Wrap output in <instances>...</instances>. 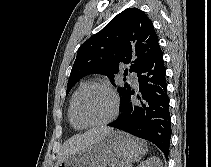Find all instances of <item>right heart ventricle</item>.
<instances>
[{
	"label": "right heart ventricle",
	"mask_w": 211,
	"mask_h": 167,
	"mask_svg": "<svg viewBox=\"0 0 211 167\" xmlns=\"http://www.w3.org/2000/svg\"><path fill=\"white\" fill-rule=\"evenodd\" d=\"M84 85H85V82H82V83L79 85V87H78V88L76 89V91L73 93V95H72V97H71V99H70V102H69V106H68V112H67V114H68V119H69L70 125H71L72 128L75 129V130H80V129L83 128V127L77 125V124L73 121V119H72V117H71V105H72V101H73V98H74L75 94H76V93L78 92V90H79L82 86H84Z\"/></svg>",
	"instance_id": "obj_1"
}]
</instances>
